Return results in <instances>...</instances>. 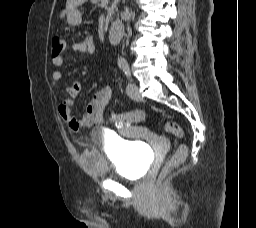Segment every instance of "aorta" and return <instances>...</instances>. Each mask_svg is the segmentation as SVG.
Wrapping results in <instances>:
<instances>
[{"label": "aorta", "instance_id": "aorta-1", "mask_svg": "<svg viewBox=\"0 0 256 228\" xmlns=\"http://www.w3.org/2000/svg\"><path fill=\"white\" fill-rule=\"evenodd\" d=\"M124 62H125L124 58H122V57H119V58H118V64H122V63H124Z\"/></svg>", "mask_w": 256, "mask_h": 228}]
</instances>
